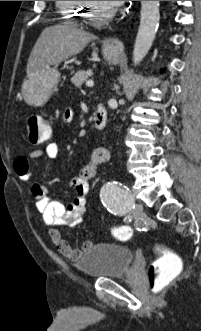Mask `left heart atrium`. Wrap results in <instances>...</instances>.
Masks as SVG:
<instances>
[{"mask_svg":"<svg viewBox=\"0 0 201 331\" xmlns=\"http://www.w3.org/2000/svg\"><path fill=\"white\" fill-rule=\"evenodd\" d=\"M104 3H108L111 7L120 6L124 1H103Z\"/></svg>","mask_w":201,"mask_h":331,"instance_id":"39dd6f15","label":"left heart atrium"}]
</instances>
